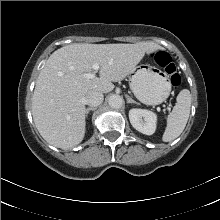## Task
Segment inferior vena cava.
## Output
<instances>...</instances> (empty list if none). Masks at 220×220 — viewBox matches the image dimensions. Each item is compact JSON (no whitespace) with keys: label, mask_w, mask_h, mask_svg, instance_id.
Segmentation results:
<instances>
[{"label":"inferior vena cava","mask_w":220,"mask_h":220,"mask_svg":"<svg viewBox=\"0 0 220 220\" xmlns=\"http://www.w3.org/2000/svg\"><path fill=\"white\" fill-rule=\"evenodd\" d=\"M103 100V94L97 90H90L85 95V104L91 107L99 106Z\"/></svg>","instance_id":"inferior-vena-cava-1"}]
</instances>
